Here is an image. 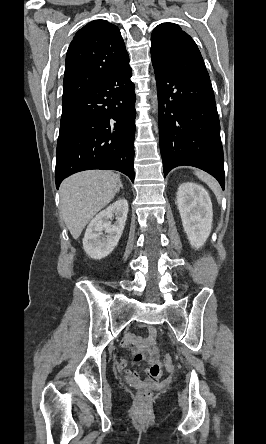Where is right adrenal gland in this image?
Here are the masks:
<instances>
[{
  "mask_svg": "<svg viewBox=\"0 0 266 444\" xmlns=\"http://www.w3.org/2000/svg\"><path fill=\"white\" fill-rule=\"evenodd\" d=\"M120 188H121V189H123V185H122V183H121V182H120Z\"/></svg>",
  "mask_w": 266,
  "mask_h": 444,
  "instance_id": "obj_1",
  "label": "right adrenal gland"
}]
</instances>
